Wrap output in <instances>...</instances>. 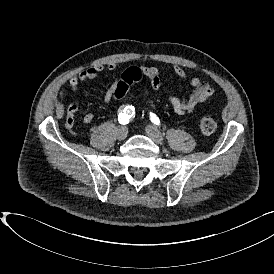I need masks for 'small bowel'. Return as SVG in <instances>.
<instances>
[{
  "instance_id": "1",
  "label": "small bowel",
  "mask_w": 274,
  "mask_h": 274,
  "mask_svg": "<svg viewBox=\"0 0 274 274\" xmlns=\"http://www.w3.org/2000/svg\"><path fill=\"white\" fill-rule=\"evenodd\" d=\"M119 67L120 66L115 62H109L105 66H91L81 71L79 74L71 76L69 78V86L73 93H77L79 86L82 83L94 80L105 69L109 71H115L118 70ZM171 68L175 75L180 79H189L188 73L182 66L178 64H172ZM142 72L149 79L152 89L159 90L161 87L160 69L156 66H143ZM119 81L120 79L115 83L111 84L110 86H108V88L106 89L103 96V101L105 104H110L114 99ZM189 82L193 90L188 96L184 98H179L176 95H169V102L176 114H188L192 112L196 107L206 103L214 95L213 88L207 82H205L200 76H194L190 78ZM72 104L77 106L76 102ZM93 121L94 116L91 113H88L83 117V123L85 125H90Z\"/></svg>"
}]
</instances>
